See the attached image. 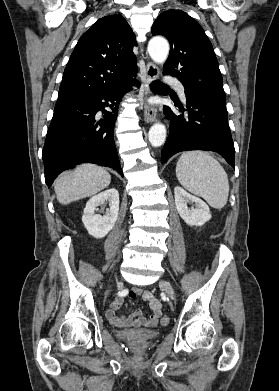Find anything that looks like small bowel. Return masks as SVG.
<instances>
[{
	"mask_svg": "<svg viewBox=\"0 0 279 391\" xmlns=\"http://www.w3.org/2000/svg\"><path fill=\"white\" fill-rule=\"evenodd\" d=\"M127 295L131 298L141 296L143 300L147 301L151 310L150 316L148 318L143 317L141 310L134 311L128 317L118 316L117 311L123 304V298L118 297L106 311V318L108 321L117 327H155L158 324L159 318L161 316V303L150 292L138 288L129 290Z\"/></svg>",
	"mask_w": 279,
	"mask_h": 391,
	"instance_id": "c3829d8e",
	"label": "small bowel"
}]
</instances>
